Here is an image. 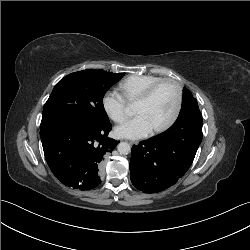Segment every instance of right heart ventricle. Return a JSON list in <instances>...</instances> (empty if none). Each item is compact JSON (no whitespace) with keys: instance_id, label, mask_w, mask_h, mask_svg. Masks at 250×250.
Instances as JSON below:
<instances>
[{"instance_id":"1","label":"right heart ventricle","mask_w":250,"mask_h":250,"mask_svg":"<svg viewBox=\"0 0 250 250\" xmlns=\"http://www.w3.org/2000/svg\"><path fill=\"white\" fill-rule=\"evenodd\" d=\"M161 79L156 75H132L119 83V89L126 101L135 102L149 86Z\"/></svg>"}]
</instances>
